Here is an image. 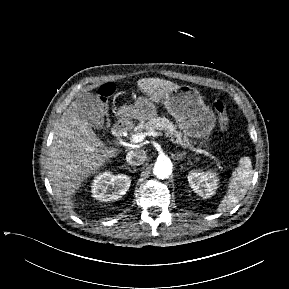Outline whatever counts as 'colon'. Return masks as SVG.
<instances>
[{
	"label": "colon",
	"instance_id": "colon-1",
	"mask_svg": "<svg viewBox=\"0 0 289 289\" xmlns=\"http://www.w3.org/2000/svg\"><path fill=\"white\" fill-rule=\"evenodd\" d=\"M114 91L115 86L112 83H105L101 85L97 90V98L100 101L102 108L105 112L108 108V100L112 96ZM214 109L217 113L221 129L223 131H227L229 128V117L226 104L221 100H217L214 103Z\"/></svg>",
	"mask_w": 289,
	"mask_h": 289
}]
</instances>
